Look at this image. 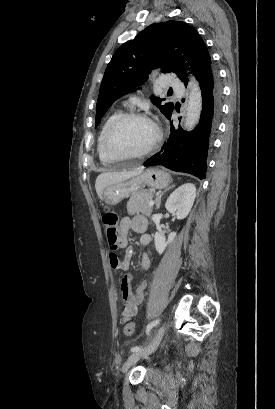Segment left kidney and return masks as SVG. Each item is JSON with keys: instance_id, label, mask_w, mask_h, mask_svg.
Instances as JSON below:
<instances>
[{"instance_id": "1", "label": "left kidney", "mask_w": 275, "mask_h": 409, "mask_svg": "<svg viewBox=\"0 0 275 409\" xmlns=\"http://www.w3.org/2000/svg\"><path fill=\"white\" fill-rule=\"evenodd\" d=\"M196 196V186L193 182H185L178 186L169 198L166 200L165 209L168 213H175L177 219H185L188 213H190L194 198ZM176 233H170L166 241L163 233H155V249L159 255L164 253L166 247L174 241Z\"/></svg>"}]
</instances>
